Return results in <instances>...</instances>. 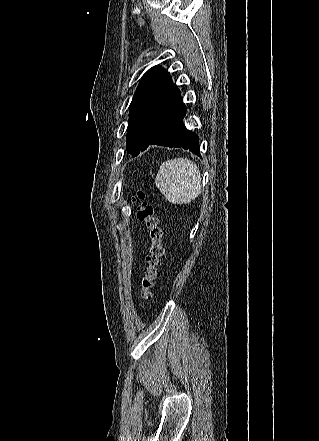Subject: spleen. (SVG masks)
Wrapping results in <instances>:
<instances>
[{
  "instance_id": "3e777b00",
  "label": "spleen",
  "mask_w": 319,
  "mask_h": 441,
  "mask_svg": "<svg viewBox=\"0 0 319 441\" xmlns=\"http://www.w3.org/2000/svg\"><path fill=\"white\" fill-rule=\"evenodd\" d=\"M199 167L181 157L163 162L155 183L165 198L173 204H187L202 192Z\"/></svg>"
}]
</instances>
